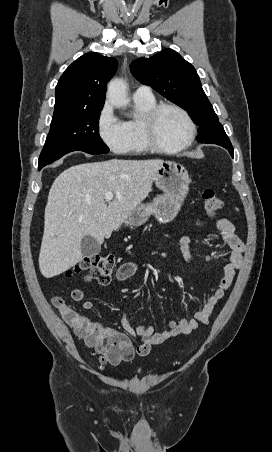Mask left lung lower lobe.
Segmentation results:
<instances>
[{
    "mask_svg": "<svg viewBox=\"0 0 272 452\" xmlns=\"http://www.w3.org/2000/svg\"><path fill=\"white\" fill-rule=\"evenodd\" d=\"M220 146H223L224 148H226L230 155L233 157L234 155V150H233V146L231 144V142H223Z\"/></svg>",
    "mask_w": 272,
    "mask_h": 452,
    "instance_id": "0a47b994",
    "label": "left lung lower lobe"
}]
</instances>
